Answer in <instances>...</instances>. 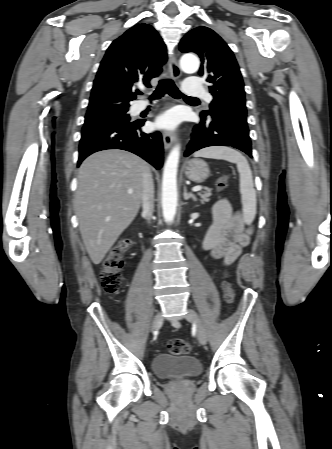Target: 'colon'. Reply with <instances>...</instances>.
<instances>
[{
	"instance_id": "5ec220e1",
	"label": "colon",
	"mask_w": 332,
	"mask_h": 449,
	"mask_svg": "<svg viewBox=\"0 0 332 449\" xmlns=\"http://www.w3.org/2000/svg\"><path fill=\"white\" fill-rule=\"evenodd\" d=\"M229 176H222L216 181L218 190L223 191L229 183ZM130 240L128 238L120 239L110 250L103 261V269L100 274V281L103 289L109 294H116L122 284L121 269L123 267V255L130 248ZM224 299L229 305L233 304L235 293L231 283L225 279L222 284ZM169 352L174 355H183L188 353L189 345L182 339H172L168 342Z\"/></svg>"
}]
</instances>
